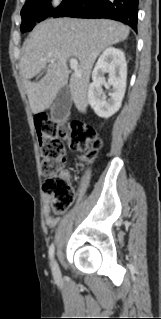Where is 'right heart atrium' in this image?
I'll use <instances>...</instances> for the list:
<instances>
[{
	"instance_id": "d8ad5b80",
	"label": "right heart atrium",
	"mask_w": 161,
	"mask_h": 319,
	"mask_svg": "<svg viewBox=\"0 0 161 319\" xmlns=\"http://www.w3.org/2000/svg\"><path fill=\"white\" fill-rule=\"evenodd\" d=\"M56 1H58V0H52V1H50V2L48 3V5H49L50 7H54V6L57 5V2H56Z\"/></svg>"
}]
</instances>
